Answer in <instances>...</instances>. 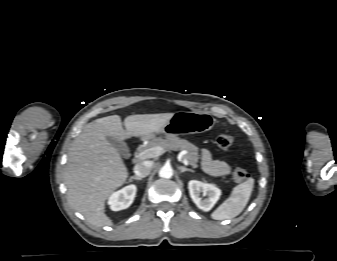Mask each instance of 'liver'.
I'll use <instances>...</instances> for the list:
<instances>
[{
    "label": "liver",
    "instance_id": "liver-1",
    "mask_svg": "<svg viewBox=\"0 0 337 261\" xmlns=\"http://www.w3.org/2000/svg\"><path fill=\"white\" fill-rule=\"evenodd\" d=\"M174 113L118 115L96 119L87 124L74 140L64 172L69 204L96 226H108L105 201L127 177L128 170L118 150L107 136L118 141L130 137L149 138L162 129Z\"/></svg>",
    "mask_w": 337,
    "mask_h": 261
}]
</instances>
